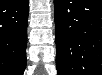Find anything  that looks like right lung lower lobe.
Here are the masks:
<instances>
[{"mask_svg":"<svg viewBox=\"0 0 102 75\" xmlns=\"http://www.w3.org/2000/svg\"><path fill=\"white\" fill-rule=\"evenodd\" d=\"M0 10L1 74L23 75L26 66L28 0H4Z\"/></svg>","mask_w":102,"mask_h":75,"instance_id":"right-lung-lower-lobe-1","label":"right lung lower lobe"}]
</instances>
